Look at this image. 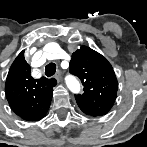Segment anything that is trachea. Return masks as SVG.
<instances>
[{"label": "trachea", "mask_w": 147, "mask_h": 147, "mask_svg": "<svg viewBox=\"0 0 147 147\" xmlns=\"http://www.w3.org/2000/svg\"><path fill=\"white\" fill-rule=\"evenodd\" d=\"M56 72V64L55 63H49L48 65H46L45 67V75L47 77H51L55 74Z\"/></svg>", "instance_id": "trachea-1"}]
</instances>
